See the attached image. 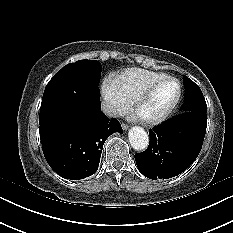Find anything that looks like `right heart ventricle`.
<instances>
[{
    "instance_id": "e07e8e85",
    "label": "right heart ventricle",
    "mask_w": 233,
    "mask_h": 233,
    "mask_svg": "<svg viewBox=\"0 0 233 233\" xmlns=\"http://www.w3.org/2000/svg\"><path fill=\"white\" fill-rule=\"evenodd\" d=\"M162 76L165 75L140 68H131L116 75L113 80L122 94L132 100L149 83Z\"/></svg>"
}]
</instances>
